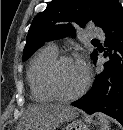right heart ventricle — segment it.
<instances>
[{"mask_svg":"<svg viewBox=\"0 0 123 130\" xmlns=\"http://www.w3.org/2000/svg\"><path fill=\"white\" fill-rule=\"evenodd\" d=\"M57 56V49L47 45L37 52L29 65L27 80L32 98L37 102L47 103L56 100L47 85V71Z\"/></svg>","mask_w":123,"mask_h":130,"instance_id":"right-heart-ventricle-1","label":"right heart ventricle"}]
</instances>
